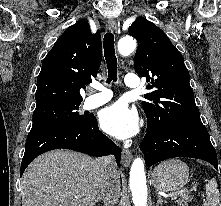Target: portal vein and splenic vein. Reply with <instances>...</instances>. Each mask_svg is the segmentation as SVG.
Returning a JSON list of instances; mask_svg holds the SVG:
<instances>
[{
  "mask_svg": "<svg viewBox=\"0 0 221 206\" xmlns=\"http://www.w3.org/2000/svg\"><path fill=\"white\" fill-rule=\"evenodd\" d=\"M185 193V190H180L179 192L171 193L168 195V198L174 199L177 195Z\"/></svg>",
  "mask_w": 221,
  "mask_h": 206,
  "instance_id": "obj_1",
  "label": "portal vein and splenic vein"
}]
</instances>
